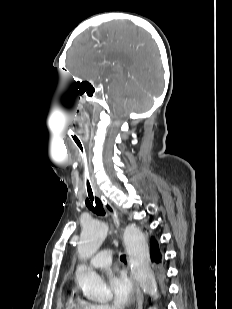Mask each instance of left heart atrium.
I'll return each mask as SVG.
<instances>
[{
  "instance_id": "left-heart-atrium-1",
  "label": "left heart atrium",
  "mask_w": 232,
  "mask_h": 309,
  "mask_svg": "<svg viewBox=\"0 0 232 309\" xmlns=\"http://www.w3.org/2000/svg\"><path fill=\"white\" fill-rule=\"evenodd\" d=\"M109 287L114 304L124 309L129 306L136 297L131 280L121 271H114L108 277Z\"/></svg>"
}]
</instances>
